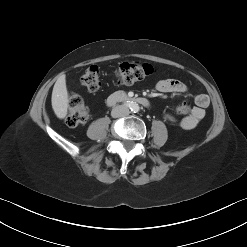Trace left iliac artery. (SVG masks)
Segmentation results:
<instances>
[{
    "label": "left iliac artery",
    "instance_id": "1",
    "mask_svg": "<svg viewBox=\"0 0 247 247\" xmlns=\"http://www.w3.org/2000/svg\"><path fill=\"white\" fill-rule=\"evenodd\" d=\"M138 111V108H134V112H137Z\"/></svg>",
    "mask_w": 247,
    "mask_h": 247
}]
</instances>
